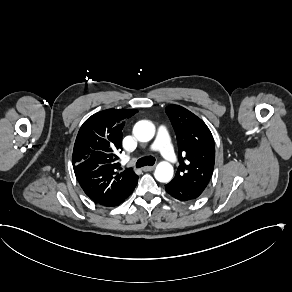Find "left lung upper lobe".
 <instances>
[{"label": "left lung upper lobe", "instance_id": "5c2ea615", "mask_svg": "<svg viewBox=\"0 0 292 292\" xmlns=\"http://www.w3.org/2000/svg\"><path fill=\"white\" fill-rule=\"evenodd\" d=\"M177 136L179 167L171 182L202 193L214 169L215 145L207 125L179 105L165 109Z\"/></svg>", "mask_w": 292, "mask_h": 292}]
</instances>
